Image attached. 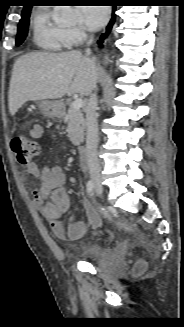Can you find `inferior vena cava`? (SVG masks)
Listing matches in <instances>:
<instances>
[{
    "instance_id": "602c4592",
    "label": "inferior vena cava",
    "mask_w": 184,
    "mask_h": 327,
    "mask_svg": "<svg viewBox=\"0 0 184 327\" xmlns=\"http://www.w3.org/2000/svg\"><path fill=\"white\" fill-rule=\"evenodd\" d=\"M93 42V37L91 36L87 42L90 46ZM91 54L90 48L86 49V55ZM97 95L96 93H91L90 99L86 107V156L89 167L90 177L93 181H101V167L97 154V146L99 141L98 136V123H97Z\"/></svg>"
}]
</instances>
